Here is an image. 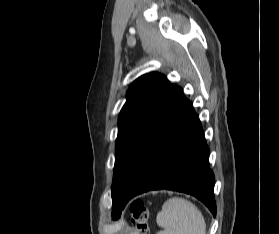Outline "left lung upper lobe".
Segmentation results:
<instances>
[{
	"instance_id": "left-lung-upper-lobe-1",
	"label": "left lung upper lobe",
	"mask_w": 279,
	"mask_h": 234,
	"mask_svg": "<svg viewBox=\"0 0 279 234\" xmlns=\"http://www.w3.org/2000/svg\"><path fill=\"white\" fill-rule=\"evenodd\" d=\"M171 84L159 73L135 80L127 91V101L118 119L115 167L112 182V216L118 218L124 208L121 192L144 134Z\"/></svg>"
}]
</instances>
